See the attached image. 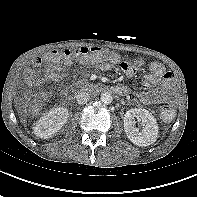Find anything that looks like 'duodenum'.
Masks as SVG:
<instances>
[{"label":"duodenum","mask_w":197,"mask_h":197,"mask_svg":"<svg viewBox=\"0 0 197 197\" xmlns=\"http://www.w3.org/2000/svg\"><path fill=\"white\" fill-rule=\"evenodd\" d=\"M111 90L121 96H124L128 93V90L126 88L120 86H113L111 87Z\"/></svg>","instance_id":"obj_1"}]
</instances>
